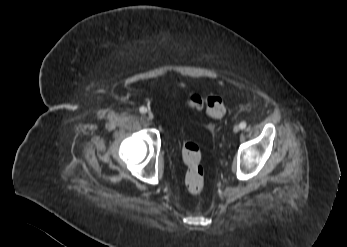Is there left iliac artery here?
<instances>
[{
    "instance_id": "left-iliac-artery-1",
    "label": "left iliac artery",
    "mask_w": 347,
    "mask_h": 247,
    "mask_svg": "<svg viewBox=\"0 0 347 247\" xmlns=\"http://www.w3.org/2000/svg\"><path fill=\"white\" fill-rule=\"evenodd\" d=\"M239 126H240V128L241 129H245L246 128V126H247V124H246V122H241L240 124H239Z\"/></svg>"
}]
</instances>
